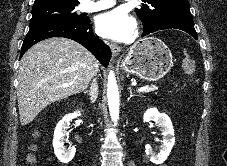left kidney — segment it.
Masks as SVG:
<instances>
[{"label": "left kidney", "mask_w": 227, "mask_h": 166, "mask_svg": "<svg viewBox=\"0 0 227 166\" xmlns=\"http://www.w3.org/2000/svg\"><path fill=\"white\" fill-rule=\"evenodd\" d=\"M143 121H154L156 125L160 127L163 141L159 153H155L149 144L145 146V152L146 155L150 156V161L152 163L156 165L162 164L169 156L175 144L172 122L167 114L160 113L156 108L148 109L143 115Z\"/></svg>", "instance_id": "left-kidney-1"}]
</instances>
